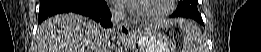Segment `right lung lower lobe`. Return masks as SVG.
<instances>
[{
  "label": "right lung lower lobe",
  "instance_id": "98d812e1",
  "mask_svg": "<svg viewBox=\"0 0 261 52\" xmlns=\"http://www.w3.org/2000/svg\"><path fill=\"white\" fill-rule=\"evenodd\" d=\"M68 12L89 16L104 27L112 26L105 0H41L38 23L52 15Z\"/></svg>",
  "mask_w": 261,
  "mask_h": 52
}]
</instances>
